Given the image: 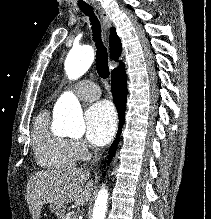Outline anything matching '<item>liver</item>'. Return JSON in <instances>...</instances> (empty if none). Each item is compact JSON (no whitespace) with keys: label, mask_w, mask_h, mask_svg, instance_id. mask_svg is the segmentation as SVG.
Wrapping results in <instances>:
<instances>
[{"label":"liver","mask_w":211,"mask_h":219,"mask_svg":"<svg viewBox=\"0 0 211 219\" xmlns=\"http://www.w3.org/2000/svg\"><path fill=\"white\" fill-rule=\"evenodd\" d=\"M89 170L67 168L35 172L27 184V203L33 219H39L44 204L63 206L74 202L87 204L91 197L93 181Z\"/></svg>","instance_id":"1"}]
</instances>
